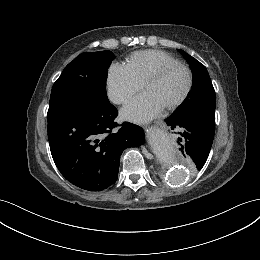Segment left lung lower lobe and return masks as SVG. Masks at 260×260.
<instances>
[{
	"label": "left lung lower lobe",
	"instance_id": "obj_1",
	"mask_svg": "<svg viewBox=\"0 0 260 260\" xmlns=\"http://www.w3.org/2000/svg\"><path fill=\"white\" fill-rule=\"evenodd\" d=\"M165 122L177 132L181 154L193 169L201 170L213 143L215 115L198 111L173 113Z\"/></svg>",
	"mask_w": 260,
	"mask_h": 260
}]
</instances>
